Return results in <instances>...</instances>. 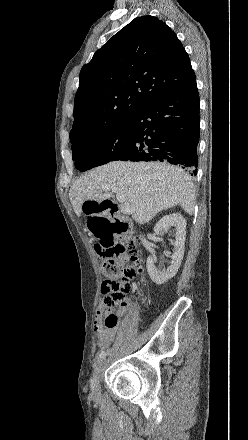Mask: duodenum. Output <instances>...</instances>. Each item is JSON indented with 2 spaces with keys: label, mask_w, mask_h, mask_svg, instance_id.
Wrapping results in <instances>:
<instances>
[{
  "label": "duodenum",
  "mask_w": 248,
  "mask_h": 440,
  "mask_svg": "<svg viewBox=\"0 0 248 440\" xmlns=\"http://www.w3.org/2000/svg\"><path fill=\"white\" fill-rule=\"evenodd\" d=\"M101 204H104L106 210H113L114 212H117L118 210L116 204L111 200H104L102 201ZM125 230H126V224L124 223V221H121L117 226L116 231L118 233H123Z\"/></svg>",
  "instance_id": "obj_1"
}]
</instances>
